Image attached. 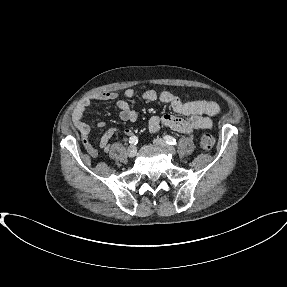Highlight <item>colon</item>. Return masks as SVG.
<instances>
[{"mask_svg":"<svg viewBox=\"0 0 287 287\" xmlns=\"http://www.w3.org/2000/svg\"><path fill=\"white\" fill-rule=\"evenodd\" d=\"M201 147L205 150H210L213 148L215 140L214 137L209 133H204L201 137Z\"/></svg>","mask_w":287,"mask_h":287,"instance_id":"obj_1","label":"colon"}]
</instances>
